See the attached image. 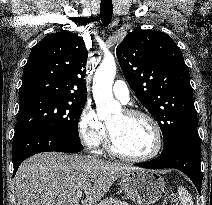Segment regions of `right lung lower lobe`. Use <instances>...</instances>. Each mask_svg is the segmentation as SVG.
Listing matches in <instances>:
<instances>
[{"instance_id": "98d812e1", "label": "right lung lower lobe", "mask_w": 212, "mask_h": 205, "mask_svg": "<svg viewBox=\"0 0 212 205\" xmlns=\"http://www.w3.org/2000/svg\"><path fill=\"white\" fill-rule=\"evenodd\" d=\"M82 144L73 138L52 130H32L14 137L12 144L13 176L19 165L28 157L40 152L59 151L77 153Z\"/></svg>"}]
</instances>
